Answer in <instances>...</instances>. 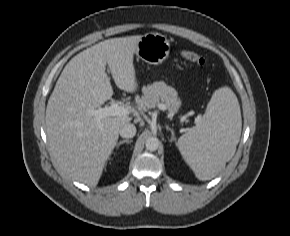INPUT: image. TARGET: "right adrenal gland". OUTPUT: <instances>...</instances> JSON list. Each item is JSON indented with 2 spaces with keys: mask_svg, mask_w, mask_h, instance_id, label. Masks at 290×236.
<instances>
[{
  "mask_svg": "<svg viewBox=\"0 0 290 236\" xmlns=\"http://www.w3.org/2000/svg\"><path fill=\"white\" fill-rule=\"evenodd\" d=\"M131 142H133V140H129V139H124L122 141H119L116 146L117 148H119L120 145L124 144V143H127V144H130Z\"/></svg>",
  "mask_w": 290,
  "mask_h": 236,
  "instance_id": "obj_1",
  "label": "right adrenal gland"
}]
</instances>
